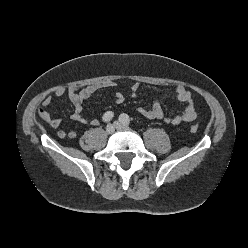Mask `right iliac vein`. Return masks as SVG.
<instances>
[{"label":"right iliac vein","mask_w":248,"mask_h":248,"mask_svg":"<svg viewBox=\"0 0 248 248\" xmlns=\"http://www.w3.org/2000/svg\"><path fill=\"white\" fill-rule=\"evenodd\" d=\"M115 131V125L114 124H109L106 127V133L107 134H113Z\"/></svg>","instance_id":"1"}]
</instances>
